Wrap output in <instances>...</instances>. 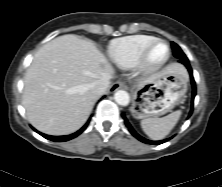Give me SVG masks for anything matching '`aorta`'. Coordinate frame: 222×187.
<instances>
[{
    "label": "aorta",
    "instance_id": "obj_1",
    "mask_svg": "<svg viewBox=\"0 0 222 187\" xmlns=\"http://www.w3.org/2000/svg\"><path fill=\"white\" fill-rule=\"evenodd\" d=\"M114 99H115L116 103L121 105V106L128 105V103L130 101L129 94L124 90H118L114 94Z\"/></svg>",
    "mask_w": 222,
    "mask_h": 187
}]
</instances>
